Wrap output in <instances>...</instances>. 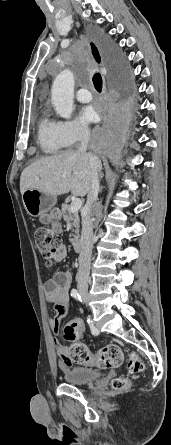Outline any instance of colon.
Instances as JSON below:
<instances>
[{
    "instance_id": "colon-1",
    "label": "colon",
    "mask_w": 171,
    "mask_h": 445,
    "mask_svg": "<svg viewBox=\"0 0 171 445\" xmlns=\"http://www.w3.org/2000/svg\"><path fill=\"white\" fill-rule=\"evenodd\" d=\"M34 236L45 263L53 264L62 246L60 237L46 228L35 229ZM75 320L76 319L70 321L64 333L65 338L71 341L69 360L72 363H87L95 365L100 369L116 368L123 363V352L116 344H108L98 349L95 353H90L87 346L77 338V323ZM127 368L129 373L137 374L144 370V365L136 354H132L129 358ZM128 383L127 377H116L112 380L111 385L114 390L121 391L127 388Z\"/></svg>"
}]
</instances>
